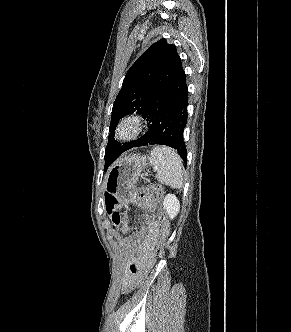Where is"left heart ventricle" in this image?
<instances>
[{
  "label": "left heart ventricle",
  "mask_w": 291,
  "mask_h": 332,
  "mask_svg": "<svg viewBox=\"0 0 291 332\" xmlns=\"http://www.w3.org/2000/svg\"><path fill=\"white\" fill-rule=\"evenodd\" d=\"M127 133H128V130L125 129V130L123 131V134L125 135V134H127Z\"/></svg>",
  "instance_id": "b2bd125f"
}]
</instances>
